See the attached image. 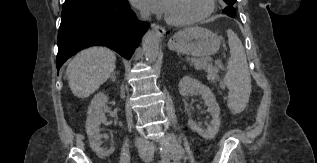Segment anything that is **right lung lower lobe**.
I'll return each mask as SVG.
<instances>
[{"instance_id": "98d812e1", "label": "right lung lower lobe", "mask_w": 317, "mask_h": 163, "mask_svg": "<svg viewBox=\"0 0 317 163\" xmlns=\"http://www.w3.org/2000/svg\"><path fill=\"white\" fill-rule=\"evenodd\" d=\"M149 23L136 21L127 0L61 18L58 32L57 69L78 51L107 46L130 59Z\"/></svg>"}]
</instances>
